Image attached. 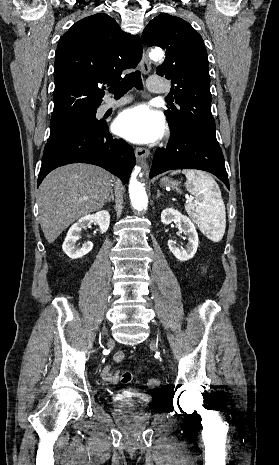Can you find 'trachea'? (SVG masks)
<instances>
[{
  "mask_svg": "<svg viewBox=\"0 0 279 465\" xmlns=\"http://www.w3.org/2000/svg\"><path fill=\"white\" fill-rule=\"evenodd\" d=\"M133 87L137 89H142V78L140 71L132 72L126 75L121 81L113 83L109 88V91L114 94V96L119 97L123 96Z\"/></svg>",
  "mask_w": 279,
  "mask_h": 465,
  "instance_id": "trachea-1",
  "label": "trachea"
}]
</instances>
